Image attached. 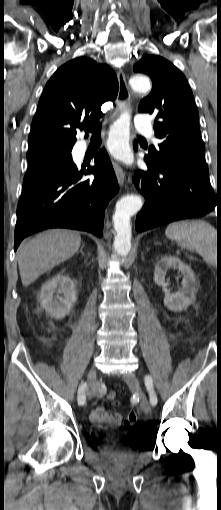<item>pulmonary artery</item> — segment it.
<instances>
[{"label": "pulmonary artery", "mask_w": 221, "mask_h": 510, "mask_svg": "<svg viewBox=\"0 0 221 510\" xmlns=\"http://www.w3.org/2000/svg\"><path fill=\"white\" fill-rule=\"evenodd\" d=\"M134 127L140 133L151 136L152 123L149 118L144 114H139L134 120Z\"/></svg>", "instance_id": "e3ab8cb5"}]
</instances>
